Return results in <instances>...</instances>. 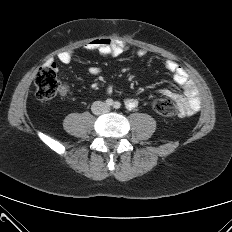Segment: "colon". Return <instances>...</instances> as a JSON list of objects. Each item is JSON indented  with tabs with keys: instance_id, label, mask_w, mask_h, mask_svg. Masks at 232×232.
Instances as JSON below:
<instances>
[{
	"instance_id": "colon-1",
	"label": "colon",
	"mask_w": 232,
	"mask_h": 232,
	"mask_svg": "<svg viewBox=\"0 0 232 232\" xmlns=\"http://www.w3.org/2000/svg\"><path fill=\"white\" fill-rule=\"evenodd\" d=\"M36 96L40 100L51 99L62 89L54 68L41 67L35 77ZM153 110L163 117H173L177 113V104L169 98H156L152 102Z\"/></svg>"
}]
</instances>
